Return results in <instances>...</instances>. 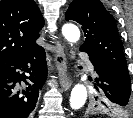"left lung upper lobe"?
Instances as JSON below:
<instances>
[{"instance_id":"5c2ea615","label":"left lung upper lobe","mask_w":133,"mask_h":118,"mask_svg":"<svg viewBox=\"0 0 133 118\" xmlns=\"http://www.w3.org/2000/svg\"><path fill=\"white\" fill-rule=\"evenodd\" d=\"M65 18L82 25L86 38L80 50L103 59L130 80L115 19L99 0H73ZM100 101L109 107L104 100Z\"/></svg>"}]
</instances>
